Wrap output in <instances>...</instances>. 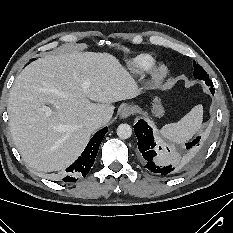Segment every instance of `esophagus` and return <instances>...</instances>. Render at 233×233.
Returning a JSON list of instances; mask_svg holds the SVG:
<instances>
[{
  "label": "esophagus",
  "instance_id": "esophagus-1",
  "mask_svg": "<svg viewBox=\"0 0 233 233\" xmlns=\"http://www.w3.org/2000/svg\"><path fill=\"white\" fill-rule=\"evenodd\" d=\"M134 109L132 106H126L121 111L122 118H128L131 114H133Z\"/></svg>",
  "mask_w": 233,
  "mask_h": 233
}]
</instances>
